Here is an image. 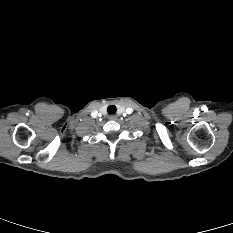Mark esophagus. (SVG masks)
Returning a JSON list of instances; mask_svg holds the SVG:
<instances>
[{
    "label": "esophagus",
    "mask_w": 233,
    "mask_h": 233,
    "mask_svg": "<svg viewBox=\"0 0 233 233\" xmlns=\"http://www.w3.org/2000/svg\"><path fill=\"white\" fill-rule=\"evenodd\" d=\"M109 119H110V120H116V119H117V116H116V115H110V116H109Z\"/></svg>",
    "instance_id": "esophagus-1"
}]
</instances>
